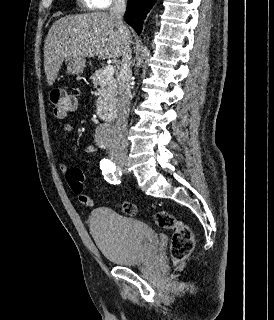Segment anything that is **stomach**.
Listing matches in <instances>:
<instances>
[{
	"label": "stomach",
	"instance_id": "1",
	"mask_svg": "<svg viewBox=\"0 0 274 320\" xmlns=\"http://www.w3.org/2000/svg\"><path fill=\"white\" fill-rule=\"evenodd\" d=\"M66 64H68V68L72 74H82L85 68V60L84 58H65Z\"/></svg>",
	"mask_w": 274,
	"mask_h": 320
}]
</instances>
